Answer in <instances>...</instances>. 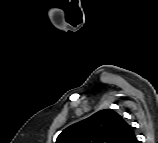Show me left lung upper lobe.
Returning a JSON list of instances; mask_svg holds the SVG:
<instances>
[{"mask_svg": "<svg viewBox=\"0 0 158 143\" xmlns=\"http://www.w3.org/2000/svg\"><path fill=\"white\" fill-rule=\"evenodd\" d=\"M133 128L114 110H100L64 129L56 143H136Z\"/></svg>", "mask_w": 158, "mask_h": 143, "instance_id": "left-lung-upper-lobe-1", "label": "left lung upper lobe"}]
</instances>
